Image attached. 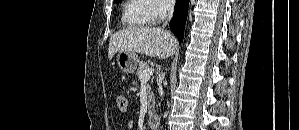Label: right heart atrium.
<instances>
[{
  "label": "right heart atrium",
  "mask_w": 299,
  "mask_h": 130,
  "mask_svg": "<svg viewBox=\"0 0 299 130\" xmlns=\"http://www.w3.org/2000/svg\"><path fill=\"white\" fill-rule=\"evenodd\" d=\"M153 6L152 19L160 21L165 18L173 9V2L170 0H149Z\"/></svg>",
  "instance_id": "obj_1"
}]
</instances>
